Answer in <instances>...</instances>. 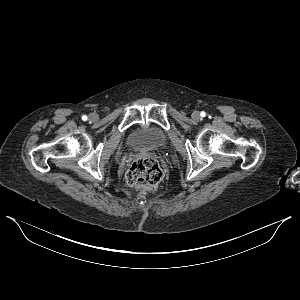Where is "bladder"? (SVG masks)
Returning a JSON list of instances; mask_svg holds the SVG:
<instances>
[{
  "label": "bladder",
  "mask_w": 300,
  "mask_h": 300,
  "mask_svg": "<svg viewBox=\"0 0 300 300\" xmlns=\"http://www.w3.org/2000/svg\"><path fill=\"white\" fill-rule=\"evenodd\" d=\"M168 140L167 133L158 125L147 123L135 129L128 137L129 146L137 151L162 148Z\"/></svg>",
  "instance_id": "obj_1"
}]
</instances>
